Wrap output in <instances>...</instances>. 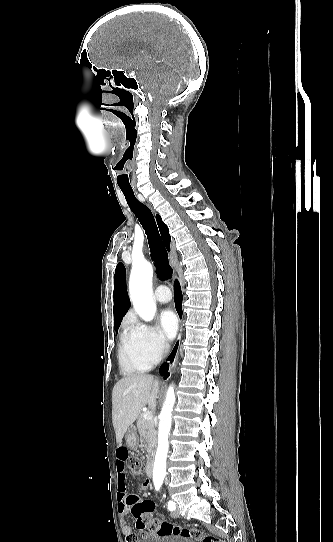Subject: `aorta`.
I'll use <instances>...</instances> for the list:
<instances>
[{
    "mask_svg": "<svg viewBox=\"0 0 333 542\" xmlns=\"http://www.w3.org/2000/svg\"><path fill=\"white\" fill-rule=\"evenodd\" d=\"M152 276V266L149 262H146L139 268L133 266L129 280L130 300L138 316L145 322H151L157 310L156 302L153 300ZM175 400L174 390L170 386L159 416L158 448L153 468V484L155 488H161L166 476V460L169 450L168 436L171 430V416Z\"/></svg>",
    "mask_w": 333,
    "mask_h": 542,
    "instance_id": "762f6f07",
    "label": "aorta"
}]
</instances>
